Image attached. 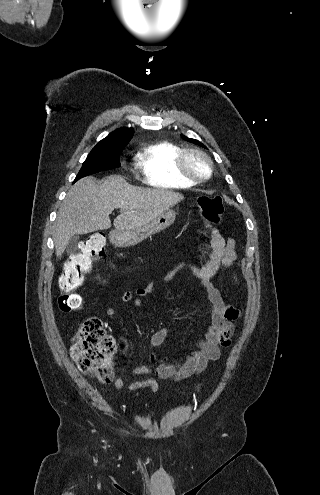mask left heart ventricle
<instances>
[{"label": "left heart ventricle", "mask_w": 320, "mask_h": 495, "mask_svg": "<svg viewBox=\"0 0 320 495\" xmlns=\"http://www.w3.org/2000/svg\"><path fill=\"white\" fill-rule=\"evenodd\" d=\"M188 167L197 175H205L208 169L205 161L197 155H191L188 158Z\"/></svg>", "instance_id": "b2bd125f"}]
</instances>
